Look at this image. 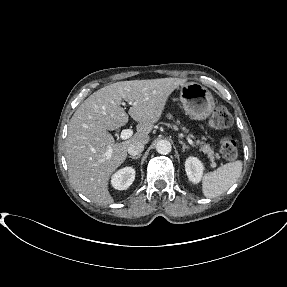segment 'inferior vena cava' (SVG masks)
<instances>
[{
	"label": "inferior vena cava",
	"instance_id": "1",
	"mask_svg": "<svg viewBox=\"0 0 287 287\" xmlns=\"http://www.w3.org/2000/svg\"><path fill=\"white\" fill-rule=\"evenodd\" d=\"M143 150L144 144L140 141H135L129 145L127 152L132 156H136L141 154Z\"/></svg>",
	"mask_w": 287,
	"mask_h": 287
}]
</instances>
